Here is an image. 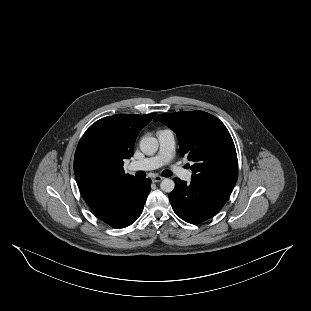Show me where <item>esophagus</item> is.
I'll use <instances>...</instances> for the list:
<instances>
[{"label": "esophagus", "mask_w": 311, "mask_h": 311, "mask_svg": "<svg viewBox=\"0 0 311 311\" xmlns=\"http://www.w3.org/2000/svg\"><path fill=\"white\" fill-rule=\"evenodd\" d=\"M161 180H163V177H161V176H154V177L152 178V181H153L154 183L160 182Z\"/></svg>", "instance_id": "esophagus-1"}]
</instances>
